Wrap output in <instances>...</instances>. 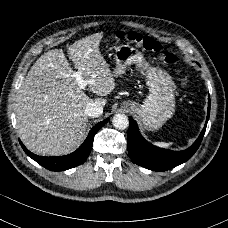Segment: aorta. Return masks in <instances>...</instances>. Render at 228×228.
<instances>
[{"label":"aorta","mask_w":228,"mask_h":228,"mask_svg":"<svg viewBox=\"0 0 228 228\" xmlns=\"http://www.w3.org/2000/svg\"><path fill=\"white\" fill-rule=\"evenodd\" d=\"M112 124L115 128L124 130L129 126V120L125 114H116L112 119Z\"/></svg>","instance_id":"1"}]
</instances>
